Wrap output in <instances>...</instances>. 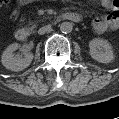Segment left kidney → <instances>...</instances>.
<instances>
[{"mask_svg":"<svg viewBox=\"0 0 119 119\" xmlns=\"http://www.w3.org/2000/svg\"><path fill=\"white\" fill-rule=\"evenodd\" d=\"M90 56L101 63H110L114 59L111 45L104 39L94 38L89 42Z\"/></svg>","mask_w":119,"mask_h":119,"instance_id":"1","label":"left kidney"}]
</instances>
